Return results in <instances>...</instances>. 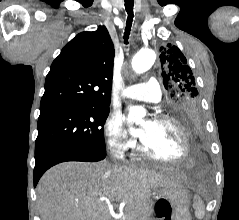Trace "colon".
Returning a JSON list of instances; mask_svg holds the SVG:
<instances>
[{"mask_svg": "<svg viewBox=\"0 0 239 220\" xmlns=\"http://www.w3.org/2000/svg\"><path fill=\"white\" fill-rule=\"evenodd\" d=\"M188 93L191 95H195V91L193 89H189ZM158 214L164 220H170L172 216V206L167 200L159 201L157 205Z\"/></svg>", "mask_w": 239, "mask_h": 220, "instance_id": "5ec220e1", "label": "colon"}]
</instances>
